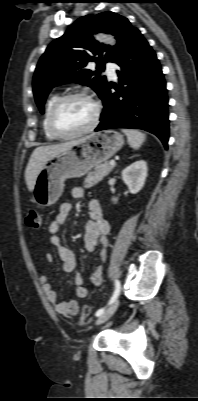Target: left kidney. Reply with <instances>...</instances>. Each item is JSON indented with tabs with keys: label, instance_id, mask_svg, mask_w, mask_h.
I'll return each mask as SVG.
<instances>
[{
	"label": "left kidney",
	"instance_id": "obj_1",
	"mask_svg": "<svg viewBox=\"0 0 198 401\" xmlns=\"http://www.w3.org/2000/svg\"><path fill=\"white\" fill-rule=\"evenodd\" d=\"M147 177V163L139 160L122 171V179L131 194H137L144 186ZM116 201V198L112 199Z\"/></svg>",
	"mask_w": 198,
	"mask_h": 401
}]
</instances>
